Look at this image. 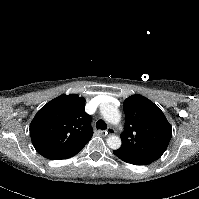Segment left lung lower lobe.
<instances>
[{"mask_svg": "<svg viewBox=\"0 0 199 199\" xmlns=\"http://www.w3.org/2000/svg\"><path fill=\"white\" fill-rule=\"evenodd\" d=\"M113 153L120 158L121 160L130 163V164H134V165H147L150 164L151 162H148L144 159L129 155L127 153L124 152H120L118 150H113Z\"/></svg>", "mask_w": 199, "mask_h": 199, "instance_id": "left-lung-lower-lobe-1", "label": "left lung lower lobe"}]
</instances>
